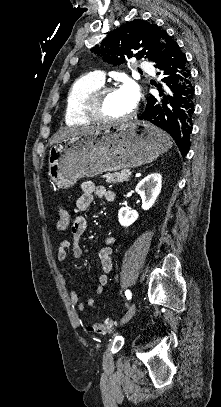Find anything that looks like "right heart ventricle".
Returning <instances> with one entry per match:
<instances>
[{
  "mask_svg": "<svg viewBox=\"0 0 221 407\" xmlns=\"http://www.w3.org/2000/svg\"><path fill=\"white\" fill-rule=\"evenodd\" d=\"M102 85L91 75H83L71 84L64 108V119L67 124L84 125L91 122L84 108L91 95Z\"/></svg>",
  "mask_w": 221,
  "mask_h": 407,
  "instance_id": "e07e8e85",
  "label": "right heart ventricle"
}]
</instances>
